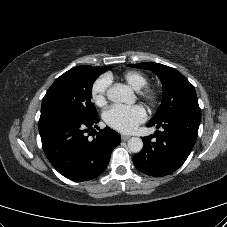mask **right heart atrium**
<instances>
[{
    "mask_svg": "<svg viewBox=\"0 0 227 227\" xmlns=\"http://www.w3.org/2000/svg\"><path fill=\"white\" fill-rule=\"evenodd\" d=\"M110 85V78L106 75L95 80L91 87V99L97 106H103L107 100V91Z\"/></svg>",
    "mask_w": 227,
    "mask_h": 227,
    "instance_id": "obj_1",
    "label": "right heart atrium"
}]
</instances>
